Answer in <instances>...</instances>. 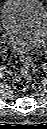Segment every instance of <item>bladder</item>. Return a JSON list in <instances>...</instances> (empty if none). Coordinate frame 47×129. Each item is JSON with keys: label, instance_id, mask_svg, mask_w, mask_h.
Segmentation results:
<instances>
[{"label": "bladder", "instance_id": "31cf9c89", "mask_svg": "<svg viewBox=\"0 0 47 129\" xmlns=\"http://www.w3.org/2000/svg\"><path fill=\"white\" fill-rule=\"evenodd\" d=\"M1 25L9 44L23 55L39 50L47 38V12L39 0H6Z\"/></svg>", "mask_w": 47, "mask_h": 129}]
</instances>
